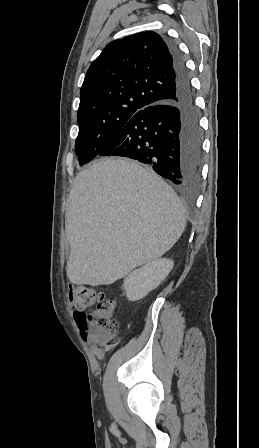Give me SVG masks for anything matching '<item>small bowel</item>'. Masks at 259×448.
Listing matches in <instances>:
<instances>
[{"instance_id": "small-bowel-1", "label": "small bowel", "mask_w": 259, "mask_h": 448, "mask_svg": "<svg viewBox=\"0 0 259 448\" xmlns=\"http://www.w3.org/2000/svg\"><path fill=\"white\" fill-rule=\"evenodd\" d=\"M71 301H72V299H73V297H72V294H71ZM94 353H95V355L98 357V358H101L102 357V352L100 351V350H98V349H94Z\"/></svg>"}]
</instances>
